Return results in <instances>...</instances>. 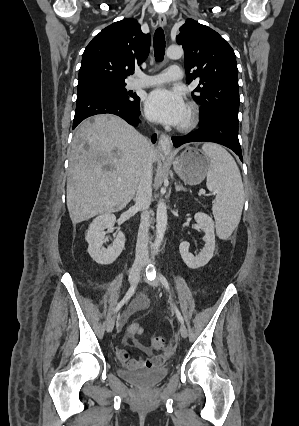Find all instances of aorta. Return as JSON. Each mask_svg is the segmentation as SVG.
Instances as JSON below:
<instances>
[{"instance_id": "aorta-1", "label": "aorta", "mask_w": 299, "mask_h": 426, "mask_svg": "<svg viewBox=\"0 0 299 426\" xmlns=\"http://www.w3.org/2000/svg\"><path fill=\"white\" fill-rule=\"evenodd\" d=\"M184 51L181 46L171 45L166 50V56L170 59H179L183 56ZM167 226V206L163 200H160L157 205L156 213V238L153 245V253L156 254L163 241Z\"/></svg>"}]
</instances>
